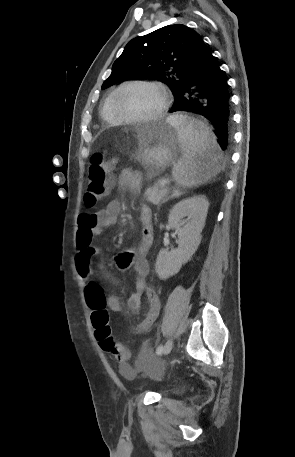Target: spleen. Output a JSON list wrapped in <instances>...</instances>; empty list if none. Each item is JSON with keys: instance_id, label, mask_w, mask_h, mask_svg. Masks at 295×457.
<instances>
[{"instance_id": "obj_1", "label": "spleen", "mask_w": 295, "mask_h": 457, "mask_svg": "<svg viewBox=\"0 0 295 457\" xmlns=\"http://www.w3.org/2000/svg\"><path fill=\"white\" fill-rule=\"evenodd\" d=\"M167 121L177 129L183 152L172 171L179 185L197 186L220 172L222 153L215 135L205 123L181 114L171 115Z\"/></svg>"}]
</instances>
